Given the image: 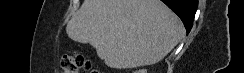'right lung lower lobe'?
<instances>
[{
  "instance_id": "obj_1",
  "label": "right lung lower lobe",
  "mask_w": 244,
  "mask_h": 73,
  "mask_svg": "<svg viewBox=\"0 0 244 73\" xmlns=\"http://www.w3.org/2000/svg\"><path fill=\"white\" fill-rule=\"evenodd\" d=\"M182 20L187 33L190 32L198 6V0H161Z\"/></svg>"
}]
</instances>
